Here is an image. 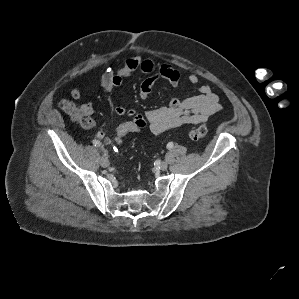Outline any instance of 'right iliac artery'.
<instances>
[{
    "instance_id": "82829eb1",
    "label": "right iliac artery",
    "mask_w": 299,
    "mask_h": 299,
    "mask_svg": "<svg viewBox=\"0 0 299 299\" xmlns=\"http://www.w3.org/2000/svg\"><path fill=\"white\" fill-rule=\"evenodd\" d=\"M93 144L96 147H99L101 145L100 141H98V140H93Z\"/></svg>"
}]
</instances>
